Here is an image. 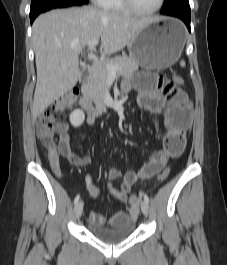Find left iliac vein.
<instances>
[{"label": "left iliac vein", "mask_w": 227, "mask_h": 265, "mask_svg": "<svg viewBox=\"0 0 227 265\" xmlns=\"http://www.w3.org/2000/svg\"><path fill=\"white\" fill-rule=\"evenodd\" d=\"M141 211H142V213H143L145 216L148 215V212H149V205H148L147 202L142 201V203H141Z\"/></svg>", "instance_id": "4c4485c4"}]
</instances>
